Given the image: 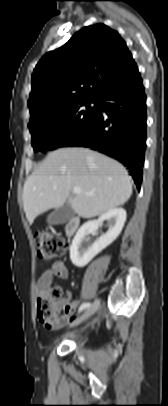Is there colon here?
<instances>
[{"mask_svg":"<svg viewBox=\"0 0 168 406\" xmlns=\"http://www.w3.org/2000/svg\"><path fill=\"white\" fill-rule=\"evenodd\" d=\"M34 240L37 248V256L42 261H50L65 254L67 251L66 242L58 235L48 231H37L34 234ZM62 292L58 287H51L46 297L38 299V315L43 324L54 325L57 323L58 306L56 299L61 296Z\"/></svg>","mask_w":168,"mask_h":406,"instance_id":"1","label":"colon"}]
</instances>
